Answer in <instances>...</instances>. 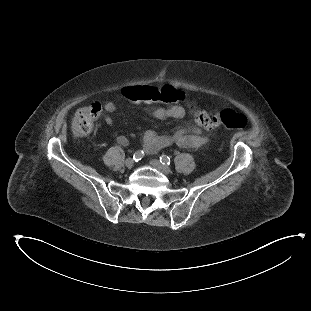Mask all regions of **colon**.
Returning <instances> with one entry per match:
<instances>
[{
	"instance_id": "5ec220e1",
	"label": "colon",
	"mask_w": 311,
	"mask_h": 311,
	"mask_svg": "<svg viewBox=\"0 0 311 311\" xmlns=\"http://www.w3.org/2000/svg\"><path fill=\"white\" fill-rule=\"evenodd\" d=\"M122 96L125 99H133L135 102L144 101L147 103H182L186 101V96L176 89H157L153 84L142 85L140 88L125 86L122 89ZM104 107L106 106L102 103H93L78 109L72 122L74 136L84 137L88 135L93 129L94 120L102 114ZM191 110L200 124L214 128L210 115L195 105H191ZM218 118H220L219 126L232 129H242L247 124L246 117L230 107L220 110Z\"/></svg>"
}]
</instances>
